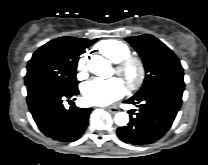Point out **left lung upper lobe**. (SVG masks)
Here are the masks:
<instances>
[{
	"mask_svg": "<svg viewBox=\"0 0 208 165\" xmlns=\"http://www.w3.org/2000/svg\"><path fill=\"white\" fill-rule=\"evenodd\" d=\"M126 40L141 56L146 72L143 86L133 97L165 83H184L179 59L160 40L150 34L128 37Z\"/></svg>",
	"mask_w": 208,
	"mask_h": 165,
	"instance_id": "5c2ea615",
	"label": "left lung upper lobe"
}]
</instances>
